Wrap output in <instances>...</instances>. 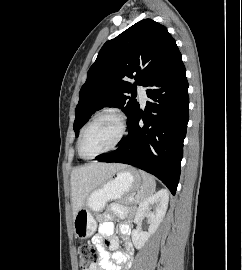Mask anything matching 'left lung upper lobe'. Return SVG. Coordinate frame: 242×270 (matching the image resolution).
Wrapping results in <instances>:
<instances>
[{
  "mask_svg": "<svg viewBox=\"0 0 242 270\" xmlns=\"http://www.w3.org/2000/svg\"><path fill=\"white\" fill-rule=\"evenodd\" d=\"M180 55L167 28L152 19L141 20L107 41L80 90L74 121L76 136L88 118L103 107L122 109L129 124L139 110L133 95L137 84L147 86ZM129 78L135 79L134 84L128 81Z\"/></svg>",
  "mask_w": 242,
  "mask_h": 270,
  "instance_id": "obj_1",
  "label": "left lung upper lobe"
}]
</instances>
